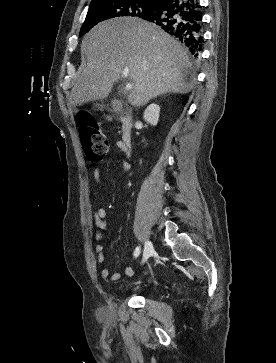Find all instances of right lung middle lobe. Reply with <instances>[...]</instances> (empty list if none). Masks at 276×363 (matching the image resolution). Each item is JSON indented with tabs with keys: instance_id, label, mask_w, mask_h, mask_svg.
<instances>
[{
	"instance_id": "obj_1",
	"label": "right lung middle lobe",
	"mask_w": 276,
	"mask_h": 363,
	"mask_svg": "<svg viewBox=\"0 0 276 363\" xmlns=\"http://www.w3.org/2000/svg\"><path fill=\"white\" fill-rule=\"evenodd\" d=\"M157 6L139 0H100L92 2L81 27L80 36L98 23L120 16H133L147 19L153 15Z\"/></svg>"
}]
</instances>
